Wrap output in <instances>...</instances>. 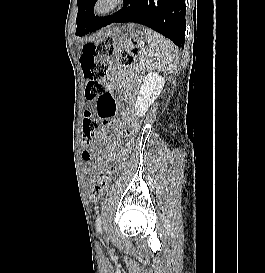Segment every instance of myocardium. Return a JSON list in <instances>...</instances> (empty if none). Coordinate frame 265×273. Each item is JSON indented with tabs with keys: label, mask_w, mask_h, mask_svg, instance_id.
<instances>
[{
	"label": "myocardium",
	"mask_w": 265,
	"mask_h": 273,
	"mask_svg": "<svg viewBox=\"0 0 265 273\" xmlns=\"http://www.w3.org/2000/svg\"><path fill=\"white\" fill-rule=\"evenodd\" d=\"M124 3L125 0H94L91 13L97 18L107 17L121 9Z\"/></svg>",
	"instance_id": "1"
}]
</instances>
